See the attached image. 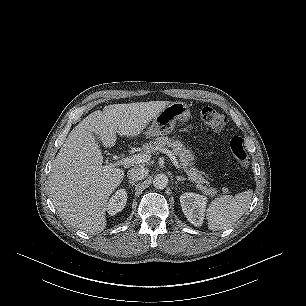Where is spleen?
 I'll use <instances>...</instances> for the list:
<instances>
[{"label":"spleen","mask_w":306,"mask_h":306,"mask_svg":"<svg viewBox=\"0 0 306 306\" xmlns=\"http://www.w3.org/2000/svg\"><path fill=\"white\" fill-rule=\"evenodd\" d=\"M252 195L250 189L235 196L223 195L213 200L206 212L208 228L216 231L231 227L249 208Z\"/></svg>","instance_id":"1"}]
</instances>
